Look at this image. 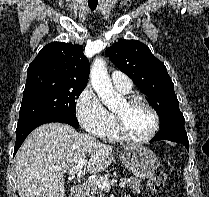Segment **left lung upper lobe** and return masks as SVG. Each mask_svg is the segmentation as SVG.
Instances as JSON below:
<instances>
[{"label":"left lung upper lobe","mask_w":209,"mask_h":197,"mask_svg":"<svg viewBox=\"0 0 209 197\" xmlns=\"http://www.w3.org/2000/svg\"><path fill=\"white\" fill-rule=\"evenodd\" d=\"M106 53L148 97L149 104L159 115L160 130L173 124L185 123L174 84L164 63L154 57L145 44L137 40L121 39L108 48Z\"/></svg>","instance_id":"1"}]
</instances>
